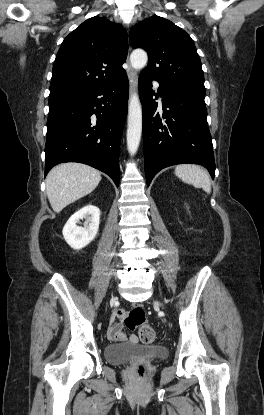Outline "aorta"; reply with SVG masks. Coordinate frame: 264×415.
<instances>
[{
	"instance_id": "762f6f07",
	"label": "aorta",
	"mask_w": 264,
	"mask_h": 415,
	"mask_svg": "<svg viewBox=\"0 0 264 415\" xmlns=\"http://www.w3.org/2000/svg\"><path fill=\"white\" fill-rule=\"evenodd\" d=\"M148 61L147 53L142 49L134 50L130 55L131 66L135 71L145 67ZM142 133V108L139 97L132 93L128 107L127 149L134 155L139 147Z\"/></svg>"
}]
</instances>
